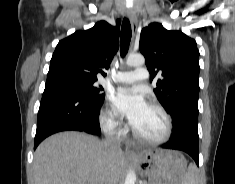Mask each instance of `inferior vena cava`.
I'll return each instance as SVG.
<instances>
[{
    "label": "inferior vena cava",
    "mask_w": 235,
    "mask_h": 184,
    "mask_svg": "<svg viewBox=\"0 0 235 184\" xmlns=\"http://www.w3.org/2000/svg\"><path fill=\"white\" fill-rule=\"evenodd\" d=\"M105 146H107L109 152H121L120 142H118L115 136H106L105 142H103Z\"/></svg>",
    "instance_id": "obj_1"
}]
</instances>
